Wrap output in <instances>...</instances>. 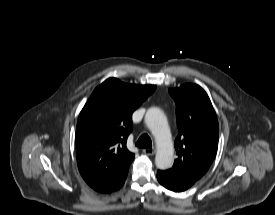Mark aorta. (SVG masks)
<instances>
[{
	"instance_id": "762f6f07",
	"label": "aorta",
	"mask_w": 275,
	"mask_h": 215,
	"mask_svg": "<svg viewBox=\"0 0 275 215\" xmlns=\"http://www.w3.org/2000/svg\"><path fill=\"white\" fill-rule=\"evenodd\" d=\"M145 123L155 137L157 144L156 167L161 170L171 168L174 159V147L165 114L159 108H149L145 115Z\"/></svg>"
}]
</instances>
